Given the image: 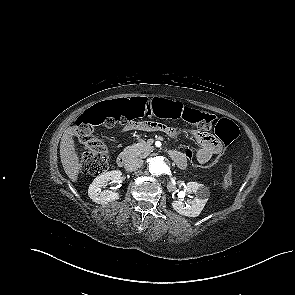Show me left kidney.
Listing matches in <instances>:
<instances>
[{
	"label": "left kidney",
	"instance_id": "5707ae66",
	"mask_svg": "<svg viewBox=\"0 0 295 295\" xmlns=\"http://www.w3.org/2000/svg\"><path fill=\"white\" fill-rule=\"evenodd\" d=\"M188 193H194L193 199L184 201L178 199L172 202V208L179 214L187 217H197L203 210L208 197L210 196L209 189L203 184L197 182H188L186 185Z\"/></svg>",
	"mask_w": 295,
	"mask_h": 295
}]
</instances>
